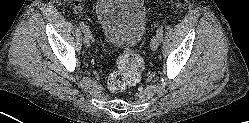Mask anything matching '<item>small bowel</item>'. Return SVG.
<instances>
[{
	"label": "small bowel",
	"mask_w": 249,
	"mask_h": 123,
	"mask_svg": "<svg viewBox=\"0 0 249 123\" xmlns=\"http://www.w3.org/2000/svg\"><path fill=\"white\" fill-rule=\"evenodd\" d=\"M74 10H75L76 12H79V11H80V5H79L78 3L75 4Z\"/></svg>",
	"instance_id": "c3829d8e"
}]
</instances>
